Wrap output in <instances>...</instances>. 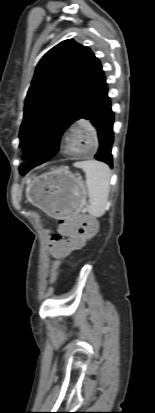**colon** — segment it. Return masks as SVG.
I'll use <instances>...</instances> for the list:
<instances>
[{
    "label": "colon",
    "instance_id": "obj_1",
    "mask_svg": "<svg viewBox=\"0 0 155 413\" xmlns=\"http://www.w3.org/2000/svg\"><path fill=\"white\" fill-rule=\"evenodd\" d=\"M61 225L71 235L54 234L50 238L49 246L58 258H70L72 252L81 250L80 244H89L97 231V222L92 217H68L61 221Z\"/></svg>",
    "mask_w": 155,
    "mask_h": 413
}]
</instances>
